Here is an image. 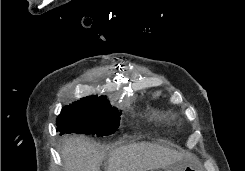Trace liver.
I'll use <instances>...</instances> for the list:
<instances>
[{"instance_id": "obj_1", "label": "liver", "mask_w": 245, "mask_h": 171, "mask_svg": "<svg viewBox=\"0 0 245 171\" xmlns=\"http://www.w3.org/2000/svg\"><path fill=\"white\" fill-rule=\"evenodd\" d=\"M65 171H100L104 153L83 136H67L60 152ZM184 153L152 143H135L110 151L107 171H152L167 168Z\"/></svg>"}]
</instances>
